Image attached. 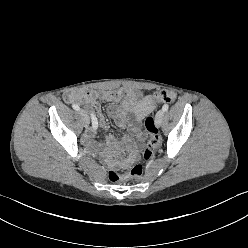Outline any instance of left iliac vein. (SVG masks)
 <instances>
[{
    "label": "left iliac vein",
    "mask_w": 248,
    "mask_h": 248,
    "mask_svg": "<svg viewBox=\"0 0 248 248\" xmlns=\"http://www.w3.org/2000/svg\"><path fill=\"white\" fill-rule=\"evenodd\" d=\"M163 116H164V111L163 110H159L156 115H155V122L157 126H160L163 120Z\"/></svg>",
    "instance_id": "4c4485c4"
}]
</instances>
